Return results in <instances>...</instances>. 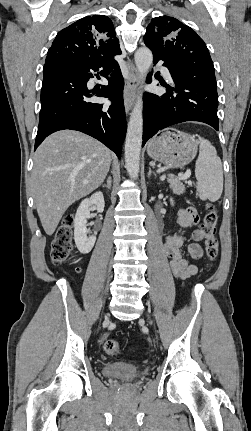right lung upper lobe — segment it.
<instances>
[{"label":"right lung upper lobe","mask_w":251,"mask_h":431,"mask_svg":"<svg viewBox=\"0 0 251 431\" xmlns=\"http://www.w3.org/2000/svg\"><path fill=\"white\" fill-rule=\"evenodd\" d=\"M113 23L107 16L82 18L61 30L49 48L46 63L67 54L81 62L96 63L110 68L121 54Z\"/></svg>","instance_id":"cb5924a9"}]
</instances>
